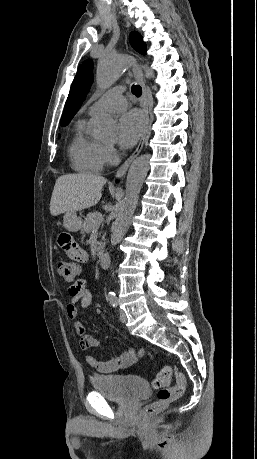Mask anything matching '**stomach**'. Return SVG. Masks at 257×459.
Returning a JSON list of instances; mask_svg holds the SVG:
<instances>
[{
  "label": "stomach",
  "instance_id": "stomach-1",
  "mask_svg": "<svg viewBox=\"0 0 257 459\" xmlns=\"http://www.w3.org/2000/svg\"><path fill=\"white\" fill-rule=\"evenodd\" d=\"M63 225L71 232H77L82 228V220L75 211L68 212L64 215Z\"/></svg>",
  "mask_w": 257,
  "mask_h": 459
}]
</instances>
